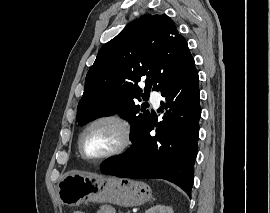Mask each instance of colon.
Wrapping results in <instances>:
<instances>
[{
    "label": "colon",
    "instance_id": "1",
    "mask_svg": "<svg viewBox=\"0 0 270 213\" xmlns=\"http://www.w3.org/2000/svg\"><path fill=\"white\" fill-rule=\"evenodd\" d=\"M73 213H85L83 211H74Z\"/></svg>",
    "mask_w": 270,
    "mask_h": 213
}]
</instances>
